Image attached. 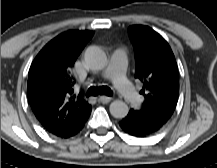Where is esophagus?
Listing matches in <instances>:
<instances>
[{
	"label": "esophagus",
	"instance_id": "esophagus-1",
	"mask_svg": "<svg viewBox=\"0 0 217 168\" xmlns=\"http://www.w3.org/2000/svg\"><path fill=\"white\" fill-rule=\"evenodd\" d=\"M99 102L103 103V104H107L111 101V98L105 95L99 96L98 98Z\"/></svg>",
	"mask_w": 217,
	"mask_h": 168
}]
</instances>
